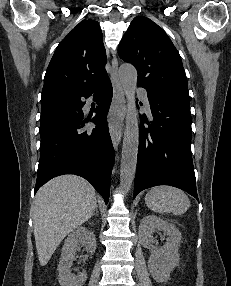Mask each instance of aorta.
I'll return each mask as SVG.
<instances>
[{
  "instance_id": "obj_1",
  "label": "aorta",
  "mask_w": 231,
  "mask_h": 286,
  "mask_svg": "<svg viewBox=\"0 0 231 286\" xmlns=\"http://www.w3.org/2000/svg\"><path fill=\"white\" fill-rule=\"evenodd\" d=\"M118 74L127 98V114L120 166V185L123 193H128L136 172L139 147V125L135 99L137 71L132 65L123 64L120 66Z\"/></svg>"
}]
</instances>
